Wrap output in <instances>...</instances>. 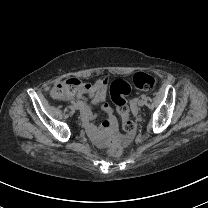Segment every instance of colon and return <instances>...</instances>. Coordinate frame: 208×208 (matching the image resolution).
I'll use <instances>...</instances> for the list:
<instances>
[{"label":"colon","mask_w":208,"mask_h":208,"mask_svg":"<svg viewBox=\"0 0 208 208\" xmlns=\"http://www.w3.org/2000/svg\"><path fill=\"white\" fill-rule=\"evenodd\" d=\"M72 81L66 83V86L71 89L72 92L78 87V84L81 82ZM134 86L139 91H149L151 90L156 81L155 79L145 73H136L133 78ZM132 91L131 84L123 79H116L112 82L110 86V95L111 99L115 104L116 112L121 119L122 128L126 132H131L135 128V123L130 119L127 97ZM109 149H115L117 152L121 150L120 141L115 139L109 141L108 144Z\"/></svg>","instance_id":"5ec220e1"}]
</instances>
